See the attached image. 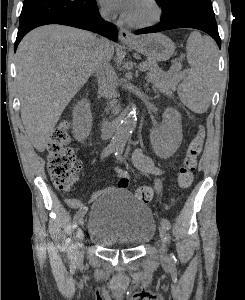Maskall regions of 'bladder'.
<instances>
[{
	"mask_svg": "<svg viewBox=\"0 0 245 300\" xmlns=\"http://www.w3.org/2000/svg\"><path fill=\"white\" fill-rule=\"evenodd\" d=\"M155 233L151 209L125 189L103 192L88 213V238L104 248L136 249L150 242Z\"/></svg>",
	"mask_w": 245,
	"mask_h": 300,
	"instance_id": "bladder-1",
	"label": "bladder"
}]
</instances>
